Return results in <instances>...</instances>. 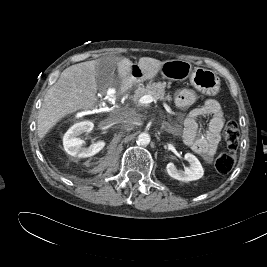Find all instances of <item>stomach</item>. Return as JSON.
Segmentation results:
<instances>
[{
  "label": "stomach",
  "mask_w": 267,
  "mask_h": 267,
  "mask_svg": "<svg viewBox=\"0 0 267 267\" xmlns=\"http://www.w3.org/2000/svg\"><path fill=\"white\" fill-rule=\"evenodd\" d=\"M160 73L171 80L190 79L191 85L199 92L214 96L219 92L220 78L211 70L195 67L184 60H169L163 62ZM134 80H144L139 68L138 74L132 76Z\"/></svg>",
  "instance_id": "0dacf381"
}]
</instances>
